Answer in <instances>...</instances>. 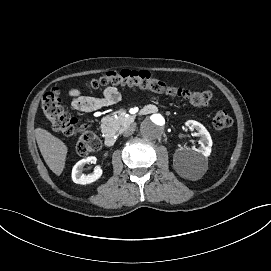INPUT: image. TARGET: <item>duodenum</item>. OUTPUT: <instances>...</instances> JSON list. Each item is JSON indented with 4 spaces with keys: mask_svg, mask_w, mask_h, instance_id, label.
<instances>
[{
    "mask_svg": "<svg viewBox=\"0 0 271 271\" xmlns=\"http://www.w3.org/2000/svg\"><path fill=\"white\" fill-rule=\"evenodd\" d=\"M116 139L113 134H106L104 137V143L107 147H113L115 145Z\"/></svg>",
    "mask_w": 271,
    "mask_h": 271,
    "instance_id": "410a0bca",
    "label": "duodenum"
}]
</instances>
